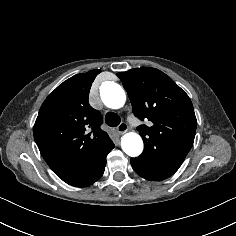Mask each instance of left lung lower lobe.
I'll list each match as a JSON object with an SVG mask.
<instances>
[{"label": "left lung lower lobe", "mask_w": 236, "mask_h": 236, "mask_svg": "<svg viewBox=\"0 0 236 236\" xmlns=\"http://www.w3.org/2000/svg\"><path fill=\"white\" fill-rule=\"evenodd\" d=\"M130 161L135 172L149 181H162L167 179L173 175L182 164V162L178 161L155 159L143 155L137 158H131Z\"/></svg>", "instance_id": "0a47b994"}]
</instances>
